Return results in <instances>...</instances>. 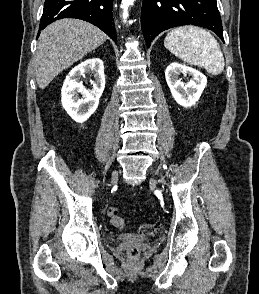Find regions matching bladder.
<instances>
[{
  "label": "bladder",
  "mask_w": 259,
  "mask_h": 294,
  "mask_svg": "<svg viewBox=\"0 0 259 294\" xmlns=\"http://www.w3.org/2000/svg\"><path fill=\"white\" fill-rule=\"evenodd\" d=\"M146 236H135L129 233H121L116 236L117 240L125 241V240H136V241H143Z\"/></svg>",
  "instance_id": "1"
}]
</instances>
